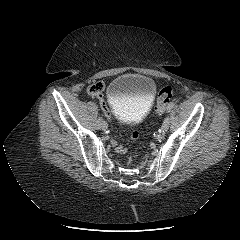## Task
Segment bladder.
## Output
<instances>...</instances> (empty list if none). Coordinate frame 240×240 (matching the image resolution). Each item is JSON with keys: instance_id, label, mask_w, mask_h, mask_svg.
<instances>
[{"instance_id": "1", "label": "bladder", "mask_w": 240, "mask_h": 240, "mask_svg": "<svg viewBox=\"0 0 240 240\" xmlns=\"http://www.w3.org/2000/svg\"><path fill=\"white\" fill-rule=\"evenodd\" d=\"M156 94V84L148 76L126 73L108 86L107 98L118 119L127 124L142 120L149 112Z\"/></svg>"}]
</instances>
